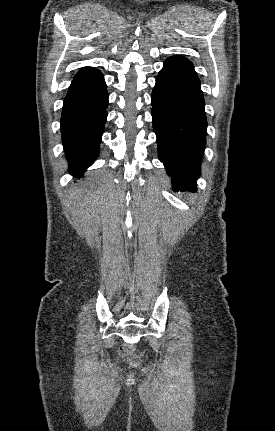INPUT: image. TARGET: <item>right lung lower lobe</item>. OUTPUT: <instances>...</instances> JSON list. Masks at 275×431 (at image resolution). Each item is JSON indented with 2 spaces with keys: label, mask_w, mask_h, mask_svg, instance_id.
Masks as SVG:
<instances>
[{
  "label": "right lung lower lobe",
  "mask_w": 275,
  "mask_h": 431,
  "mask_svg": "<svg viewBox=\"0 0 275 431\" xmlns=\"http://www.w3.org/2000/svg\"><path fill=\"white\" fill-rule=\"evenodd\" d=\"M107 107V87L99 70L73 79L62 108L61 134L69 172L75 177L99 155Z\"/></svg>",
  "instance_id": "1"
}]
</instances>
